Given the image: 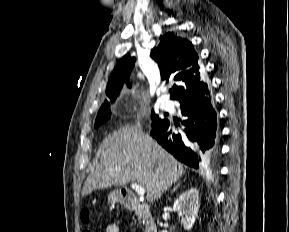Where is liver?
I'll use <instances>...</instances> for the list:
<instances>
[{
  "instance_id": "liver-1",
  "label": "liver",
  "mask_w": 289,
  "mask_h": 232,
  "mask_svg": "<svg viewBox=\"0 0 289 232\" xmlns=\"http://www.w3.org/2000/svg\"><path fill=\"white\" fill-rule=\"evenodd\" d=\"M97 158L99 163L87 177L82 196L132 182L144 187L147 201L153 203L184 174L183 165L152 137L131 127L108 135Z\"/></svg>"
}]
</instances>
